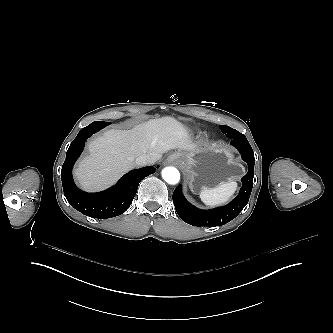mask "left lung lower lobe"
<instances>
[{"label": "left lung lower lobe", "mask_w": 333, "mask_h": 333, "mask_svg": "<svg viewBox=\"0 0 333 333\" xmlns=\"http://www.w3.org/2000/svg\"><path fill=\"white\" fill-rule=\"evenodd\" d=\"M221 131L231 139L233 145L240 152L242 159L248 164V172L241 179L242 187L237 197L229 204L211 210H201L191 205L184 197L179 185L173 193V202L180 218L193 226H220L234 219L245 207L250 198L254 176V152L246 137L231 127H220Z\"/></svg>", "instance_id": "0a47b994"}]
</instances>
